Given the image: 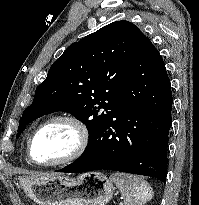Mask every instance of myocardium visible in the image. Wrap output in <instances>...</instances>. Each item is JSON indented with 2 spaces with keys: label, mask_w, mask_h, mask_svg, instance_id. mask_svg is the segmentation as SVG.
<instances>
[{
  "label": "myocardium",
  "mask_w": 199,
  "mask_h": 205,
  "mask_svg": "<svg viewBox=\"0 0 199 205\" xmlns=\"http://www.w3.org/2000/svg\"><path fill=\"white\" fill-rule=\"evenodd\" d=\"M54 123H65L70 125L74 129L76 134L75 144L71 149V151L60 159L51 162H38L33 157V144L35 138L43 129H45L46 127ZM89 143H90V130L87 124L81 118L72 114H59L47 119L45 122L40 124L34 130L27 143V155L29 160L36 165H40L44 167L57 166V165L70 163L78 159L86 151Z\"/></svg>",
  "instance_id": "f54148a6"
}]
</instances>
